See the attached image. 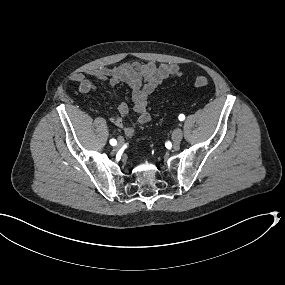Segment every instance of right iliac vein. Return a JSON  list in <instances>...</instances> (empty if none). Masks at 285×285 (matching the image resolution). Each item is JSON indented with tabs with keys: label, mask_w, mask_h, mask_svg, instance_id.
Segmentation results:
<instances>
[{
	"label": "right iliac vein",
	"mask_w": 285,
	"mask_h": 285,
	"mask_svg": "<svg viewBox=\"0 0 285 285\" xmlns=\"http://www.w3.org/2000/svg\"><path fill=\"white\" fill-rule=\"evenodd\" d=\"M124 143V139L122 137L118 138L117 146L120 147Z\"/></svg>",
	"instance_id": "right-iliac-vein-1"
}]
</instances>
